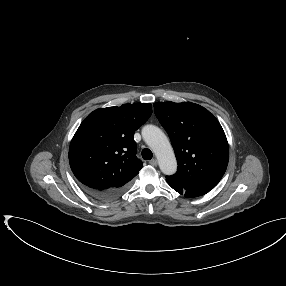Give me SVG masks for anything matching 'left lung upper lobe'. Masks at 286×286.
Segmentation results:
<instances>
[{
    "label": "left lung upper lobe",
    "instance_id": "5c2ea615",
    "mask_svg": "<svg viewBox=\"0 0 286 286\" xmlns=\"http://www.w3.org/2000/svg\"><path fill=\"white\" fill-rule=\"evenodd\" d=\"M154 109L178 163L176 174L168 177L187 186L213 189L229 160L228 142L218 120L204 107L190 102H157Z\"/></svg>",
    "mask_w": 286,
    "mask_h": 286
}]
</instances>
